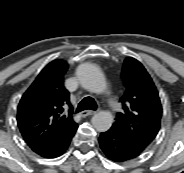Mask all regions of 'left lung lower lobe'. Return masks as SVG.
Segmentation results:
<instances>
[{"mask_svg": "<svg viewBox=\"0 0 184 173\" xmlns=\"http://www.w3.org/2000/svg\"><path fill=\"white\" fill-rule=\"evenodd\" d=\"M99 144L107 158L114 162H125L142 153L125 136L112 127L100 134Z\"/></svg>", "mask_w": 184, "mask_h": 173, "instance_id": "left-lung-lower-lobe-1", "label": "left lung lower lobe"}]
</instances>
